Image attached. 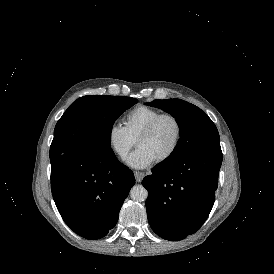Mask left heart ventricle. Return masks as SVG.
I'll return each instance as SVG.
<instances>
[{"label": "left heart ventricle", "mask_w": 274, "mask_h": 274, "mask_svg": "<svg viewBox=\"0 0 274 274\" xmlns=\"http://www.w3.org/2000/svg\"><path fill=\"white\" fill-rule=\"evenodd\" d=\"M175 135V123L171 119L166 118L159 122L150 135L140 139L137 147L145 149L155 162L169 152L173 145Z\"/></svg>", "instance_id": "b2bd125f"}]
</instances>
